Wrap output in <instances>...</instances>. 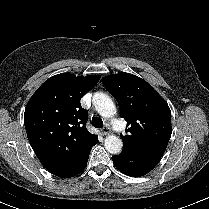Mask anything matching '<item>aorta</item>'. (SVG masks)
I'll use <instances>...</instances> for the list:
<instances>
[{"label": "aorta", "instance_id": "aorta-1", "mask_svg": "<svg viewBox=\"0 0 209 209\" xmlns=\"http://www.w3.org/2000/svg\"><path fill=\"white\" fill-rule=\"evenodd\" d=\"M92 102L101 116L109 118L115 114V105L107 94L103 92L94 93ZM122 145V140L116 135H108L105 139V148L111 154H119Z\"/></svg>", "mask_w": 209, "mask_h": 209}]
</instances>
